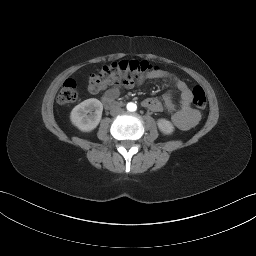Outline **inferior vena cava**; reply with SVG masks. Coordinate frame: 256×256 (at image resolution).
I'll return each mask as SVG.
<instances>
[{"instance_id": "602c4592", "label": "inferior vena cava", "mask_w": 256, "mask_h": 256, "mask_svg": "<svg viewBox=\"0 0 256 256\" xmlns=\"http://www.w3.org/2000/svg\"><path fill=\"white\" fill-rule=\"evenodd\" d=\"M122 112H123V109L117 107V108L112 109L110 113H111V115H117V114H120Z\"/></svg>"}]
</instances>
